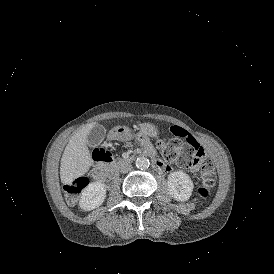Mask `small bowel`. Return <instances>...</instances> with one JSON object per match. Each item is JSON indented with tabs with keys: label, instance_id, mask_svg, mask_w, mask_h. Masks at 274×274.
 Masks as SVG:
<instances>
[{
	"label": "small bowel",
	"instance_id": "1",
	"mask_svg": "<svg viewBox=\"0 0 274 274\" xmlns=\"http://www.w3.org/2000/svg\"><path fill=\"white\" fill-rule=\"evenodd\" d=\"M170 130H177V127H170ZM179 133L185 134V131H182V129H179ZM185 137H188V134H185ZM191 142H194V139H191ZM195 144H196V146H198V148H201V145H199L198 141H195ZM142 145L144 148H146L150 151H152V149H153L151 146V143L147 139H142ZM200 153H201V149H198L196 159H199ZM194 169H195V171H198L197 161H194ZM108 172H109V169H107V168L103 169L100 166H98L95 169H93V171L91 172V176L95 181L98 182V178L104 176Z\"/></svg>",
	"mask_w": 274,
	"mask_h": 274
}]
</instances>
